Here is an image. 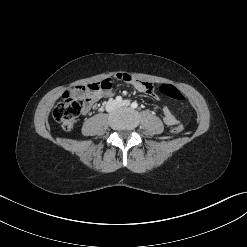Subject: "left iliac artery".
<instances>
[{
    "label": "left iliac artery",
    "mask_w": 247,
    "mask_h": 247,
    "mask_svg": "<svg viewBox=\"0 0 247 247\" xmlns=\"http://www.w3.org/2000/svg\"><path fill=\"white\" fill-rule=\"evenodd\" d=\"M131 107H132V108H137V107H138V103H137V102H133V103L131 104Z\"/></svg>",
    "instance_id": "left-iliac-artery-1"
}]
</instances>
